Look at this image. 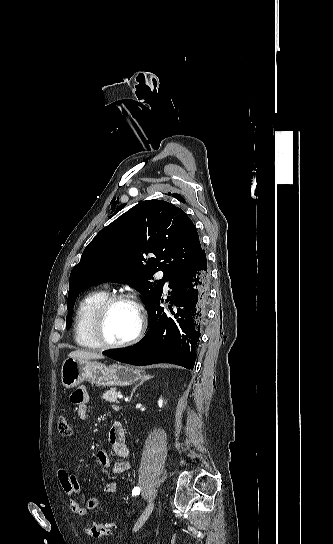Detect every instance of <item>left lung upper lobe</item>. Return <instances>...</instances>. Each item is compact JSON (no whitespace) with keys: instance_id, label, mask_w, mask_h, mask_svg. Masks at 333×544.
Masks as SVG:
<instances>
[{"instance_id":"1","label":"left lung upper lobe","mask_w":333,"mask_h":544,"mask_svg":"<svg viewBox=\"0 0 333 544\" xmlns=\"http://www.w3.org/2000/svg\"><path fill=\"white\" fill-rule=\"evenodd\" d=\"M201 249L197 230L182 209L161 200L138 203L101 230L72 269L66 328L71 327L74 303L83 289L106 280L129 283L149 308L161 297L165 281ZM160 270L163 278L152 282Z\"/></svg>"}]
</instances>
